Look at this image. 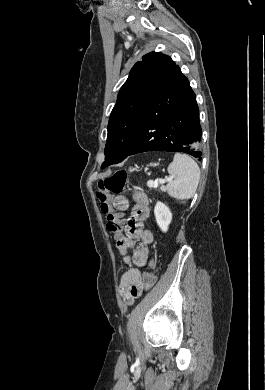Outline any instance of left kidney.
<instances>
[{
  "instance_id": "obj_1",
  "label": "left kidney",
  "mask_w": 265,
  "mask_h": 390,
  "mask_svg": "<svg viewBox=\"0 0 265 390\" xmlns=\"http://www.w3.org/2000/svg\"><path fill=\"white\" fill-rule=\"evenodd\" d=\"M154 215L159 228L166 232L172 220V213L168 206L162 202H157L154 208Z\"/></svg>"
}]
</instances>
